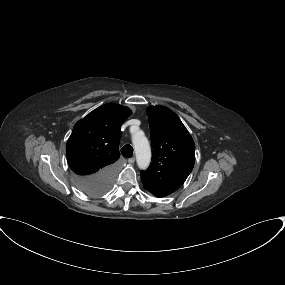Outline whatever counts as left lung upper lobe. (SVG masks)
I'll use <instances>...</instances> for the list:
<instances>
[{"label": "left lung upper lobe", "instance_id": "left-lung-upper-lobe-1", "mask_svg": "<svg viewBox=\"0 0 285 285\" xmlns=\"http://www.w3.org/2000/svg\"><path fill=\"white\" fill-rule=\"evenodd\" d=\"M152 141V163L141 172L144 188L156 197L176 191L191 173L195 144L179 117L164 106L147 109Z\"/></svg>", "mask_w": 285, "mask_h": 285}]
</instances>
